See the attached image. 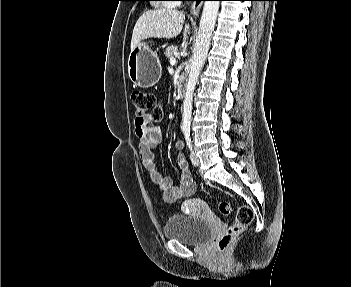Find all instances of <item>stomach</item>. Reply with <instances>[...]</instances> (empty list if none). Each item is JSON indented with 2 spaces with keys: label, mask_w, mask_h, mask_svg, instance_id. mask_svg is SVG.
Wrapping results in <instances>:
<instances>
[{
  "label": "stomach",
  "mask_w": 351,
  "mask_h": 287,
  "mask_svg": "<svg viewBox=\"0 0 351 287\" xmlns=\"http://www.w3.org/2000/svg\"><path fill=\"white\" fill-rule=\"evenodd\" d=\"M130 80L139 87L149 88L160 79L162 68L159 58L146 43H139L128 58Z\"/></svg>",
  "instance_id": "0dacf381"
}]
</instances>
